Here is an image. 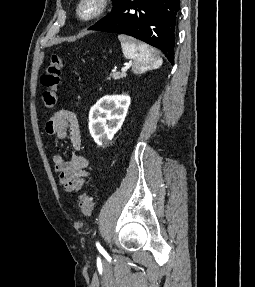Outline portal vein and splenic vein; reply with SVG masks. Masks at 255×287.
<instances>
[{
    "instance_id": "18ae733b",
    "label": "portal vein and splenic vein",
    "mask_w": 255,
    "mask_h": 287,
    "mask_svg": "<svg viewBox=\"0 0 255 287\" xmlns=\"http://www.w3.org/2000/svg\"><path fill=\"white\" fill-rule=\"evenodd\" d=\"M131 64H125V68H121V72H127L129 70Z\"/></svg>"
}]
</instances>
